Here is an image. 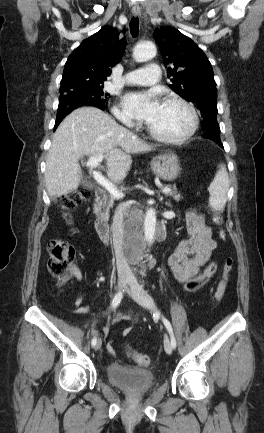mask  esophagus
<instances>
[{"label": "esophagus", "mask_w": 264, "mask_h": 433, "mask_svg": "<svg viewBox=\"0 0 264 433\" xmlns=\"http://www.w3.org/2000/svg\"><path fill=\"white\" fill-rule=\"evenodd\" d=\"M132 13L134 16H139L141 15V8L139 7L138 4H134L132 7Z\"/></svg>", "instance_id": "34e87169"}]
</instances>
